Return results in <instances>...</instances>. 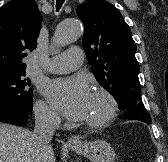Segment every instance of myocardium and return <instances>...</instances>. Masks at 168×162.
Segmentation results:
<instances>
[{
  "mask_svg": "<svg viewBox=\"0 0 168 162\" xmlns=\"http://www.w3.org/2000/svg\"><path fill=\"white\" fill-rule=\"evenodd\" d=\"M93 94L104 99L106 111L99 119L84 122L83 125L92 130H98L106 127L113 121L117 113L118 105L115 97L106 89L97 88L94 90Z\"/></svg>",
  "mask_w": 168,
  "mask_h": 162,
  "instance_id": "myocardium-1",
  "label": "myocardium"
}]
</instances>
